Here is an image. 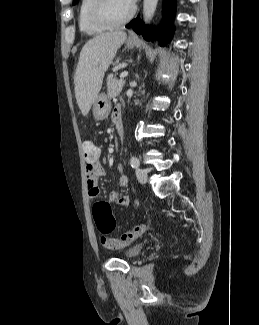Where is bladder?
<instances>
[{"mask_svg": "<svg viewBox=\"0 0 259 325\" xmlns=\"http://www.w3.org/2000/svg\"><path fill=\"white\" fill-rule=\"evenodd\" d=\"M143 248H144L143 243L134 244L125 250L124 256L128 259L135 258L141 253Z\"/></svg>", "mask_w": 259, "mask_h": 325, "instance_id": "obj_1", "label": "bladder"}]
</instances>
